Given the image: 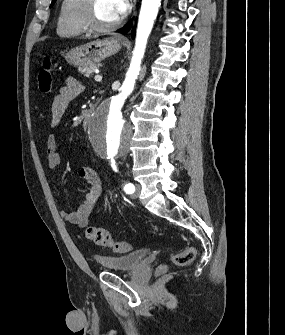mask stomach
Here are the masks:
<instances>
[{
	"instance_id": "0dacf381",
	"label": "stomach",
	"mask_w": 285,
	"mask_h": 335,
	"mask_svg": "<svg viewBox=\"0 0 285 335\" xmlns=\"http://www.w3.org/2000/svg\"><path fill=\"white\" fill-rule=\"evenodd\" d=\"M122 46L115 38H104V40H95V42H88L84 46H77L72 48L65 54V60L75 68H83V66H90V64H99L105 58L117 54Z\"/></svg>"
}]
</instances>
